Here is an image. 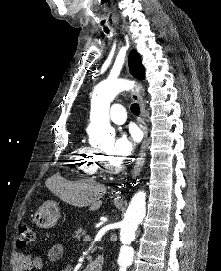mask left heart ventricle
<instances>
[{
	"instance_id": "1",
	"label": "left heart ventricle",
	"mask_w": 221,
	"mask_h": 271,
	"mask_svg": "<svg viewBox=\"0 0 221 271\" xmlns=\"http://www.w3.org/2000/svg\"><path fill=\"white\" fill-rule=\"evenodd\" d=\"M111 164H114V167H117V164H115V161H111Z\"/></svg>"
}]
</instances>
